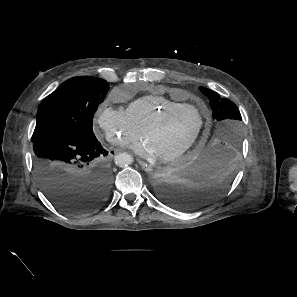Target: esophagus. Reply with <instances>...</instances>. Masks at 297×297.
<instances>
[{
    "label": "esophagus",
    "mask_w": 297,
    "mask_h": 297,
    "mask_svg": "<svg viewBox=\"0 0 297 297\" xmlns=\"http://www.w3.org/2000/svg\"><path fill=\"white\" fill-rule=\"evenodd\" d=\"M139 164L141 165L142 169H143L144 171H146L147 173L152 172L153 169H152L151 165L147 164V163L144 162V161H139Z\"/></svg>",
    "instance_id": "esophagus-1"
}]
</instances>
